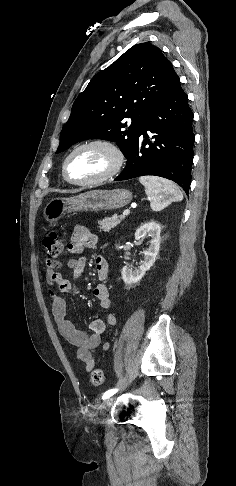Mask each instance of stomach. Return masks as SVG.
Wrapping results in <instances>:
<instances>
[{"label":"stomach","instance_id":"0dacf381","mask_svg":"<svg viewBox=\"0 0 236 486\" xmlns=\"http://www.w3.org/2000/svg\"><path fill=\"white\" fill-rule=\"evenodd\" d=\"M131 200L132 193L127 189L91 190L70 198L51 199L43 209V217L48 223L54 224L71 212L119 209Z\"/></svg>","mask_w":236,"mask_h":486}]
</instances>
